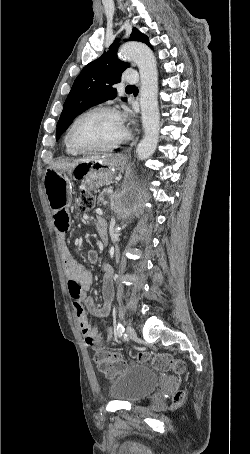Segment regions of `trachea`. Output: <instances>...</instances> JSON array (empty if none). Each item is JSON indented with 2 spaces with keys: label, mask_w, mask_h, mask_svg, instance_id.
<instances>
[{
  "label": "trachea",
  "mask_w": 250,
  "mask_h": 454,
  "mask_svg": "<svg viewBox=\"0 0 250 454\" xmlns=\"http://www.w3.org/2000/svg\"><path fill=\"white\" fill-rule=\"evenodd\" d=\"M133 87H135V86H127V88H133Z\"/></svg>",
  "instance_id": "obj_1"
}]
</instances>
